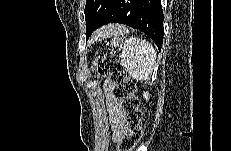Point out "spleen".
I'll return each mask as SVG.
<instances>
[{
	"instance_id": "obj_1",
	"label": "spleen",
	"mask_w": 231,
	"mask_h": 151,
	"mask_svg": "<svg viewBox=\"0 0 231 151\" xmlns=\"http://www.w3.org/2000/svg\"><path fill=\"white\" fill-rule=\"evenodd\" d=\"M121 64L135 80H148L156 64V51L145 39L130 37L125 40Z\"/></svg>"
}]
</instances>
